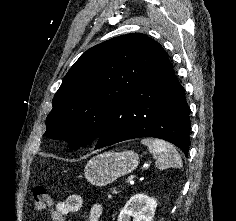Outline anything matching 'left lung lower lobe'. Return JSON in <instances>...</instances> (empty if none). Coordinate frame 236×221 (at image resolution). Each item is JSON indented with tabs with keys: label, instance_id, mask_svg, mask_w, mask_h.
Segmentation results:
<instances>
[{
	"label": "left lung lower lobe",
	"instance_id": "0a47b994",
	"mask_svg": "<svg viewBox=\"0 0 236 221\" xmlns=\"http://www.w3.org/2000/svg\"><path fill=\"white\" fill-rule=\"evenodd\" d=\"M189 107L164 51L138 86L116 107L98 136L95 149L124 140L156 137L188 155Z\"/></svg>",
	"mask_w": 236,
	"mask_h": 221
}]
</instances>
